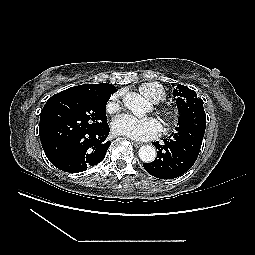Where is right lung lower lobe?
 <instances>
[{"instance_id":"obj_1","label":"right lung lower lobe","mask_w":255,"mask_h":255,"mask_svg":"<svg viewBox=\"0 0 255 255\" xmlns=\"http://www.w3.org/2000/svg\"><path fill=\"white\" fill-rule=\"evenodd\" d=\"M109 126L91 132L80 134L68 140L55 154H46L49 161L58 169L77 173L98 164L104 157L111 144L106 138Z\"/></svg>"}]
</instances>
